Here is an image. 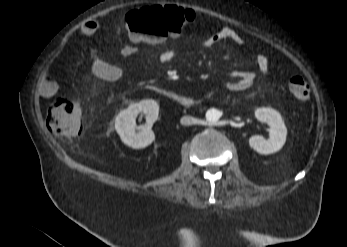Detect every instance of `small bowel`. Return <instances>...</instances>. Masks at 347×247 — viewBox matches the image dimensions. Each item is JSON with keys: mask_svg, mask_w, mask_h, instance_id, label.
<instances>
[{"mask_svg": "<svg viewBox=\"0 0 347 247\" xmlns=\"http://www.w3.org/2000/svg\"><path fill=\"white\" fill-rule=\"evenodd\" d=\"M100 23L96 19L85 21L78 32L84 36H91L99 29ZM179 34L172 35L178 37ZM223 41H230L235 46H242L244 39L241 34L233 28L222 27L203 41L205 47L214 46ZM140 40H131V43L124 44L120 48V53L124 57H131L137 54L138 49L136 44ZM174 58L172 50H164L159 54V61L169 63ZM257 68L261 72H266L269 69V59L267 56L260 54L256 57ZM91 70L94 76L98 79L108 82H113L122 79L125 76V69L119 65L106 62L101 55L95 54L92 58ZM256 81V74L253 71H236L231 72L226 80V87L230 91H243L250 88ZM39 90L45 97L54 95L58 90L57 83L52 79L47 72L43 73L39 79Z\"/></svg>", "mask_w": 347, "mask_h": 247, "instance_id": "c3829d8e", "label": "small bowel"}]
</instances>
